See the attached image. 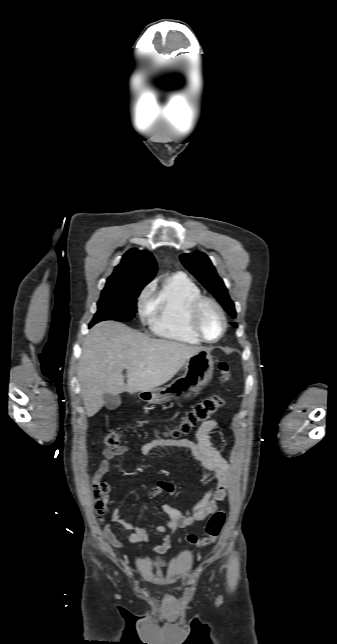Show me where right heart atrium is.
Wrapping results in <instances>:
<instances>
[{
	"instance_id": "obj_1",
	"label": "right heart atrium",
	"mask_w": 337,
	"mask_h": 644,
	"mask_svg": "<svg viewBox=\"0 0 337 644\" xmlns=\"http://www.w3.org/2000/svg\"><path fill=\"white\" fill-rule=\"evenodd\" d=\"M151 290L152 286H148L139 298V310L143 318H147L150 315Z\"/></svg>"
}]
</instances>
